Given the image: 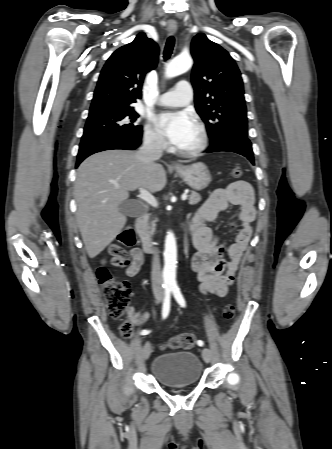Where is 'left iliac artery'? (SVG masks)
Here are the masks:
<instances>
[{
    "label": "left iliac artery",
    "instance_id": "44dca946",
    "mask_svg": "<svg viewBox=\"0 0 332 449\" xmlns=\"http://www.w3.org/2000/svg\"><path fill=\"white\" fill-rule=\"evenodd\" d=\"M171 291L173 293V296L175 298V300L177 301V303L181 306V307H185L186 306V302L185 299L180 291V288L177 285H173L171 287ZM197 344L199 346H203L204 342L202 340H198Z\"/></svg>",
    "mask_w": 332,
    "mask_h": 449
}]
</instances>
